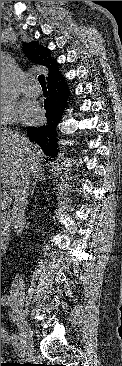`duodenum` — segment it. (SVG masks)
<instances>
[{
    "instance_id": "duodenum-1",
    "label": "duodenum",
    "mask_w": 122,
    "mask_h": 366,
    "mask_svg": "<svg viewBox=\"0 0 122 366\" xmlns=\"http://www.w3.org/2000/svg\"><path fill=\"white\" fill-rule=\"evenodd\" d=\"M4 247H5V241L1 240V251H3Z\"/></svg>"
}]
</instances>
